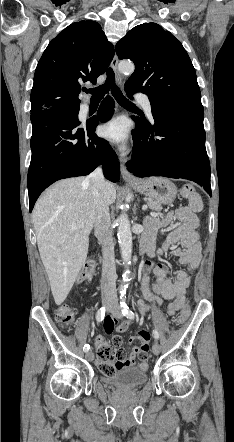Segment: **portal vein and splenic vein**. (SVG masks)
Listing matches in <instances>:
<instances>
[{
    "mask_svg": "<svg viewBox=\"0 0 234 442\" xmlns=\"http://www.w3.org/2000/svg\"><path fill=\"white\" fill-rule=\"evenodd\" d=\"M142 209L145 211V210L147 209V205H144V206L142 207ZM83 226H84V222L79 221V222H77V223H75V224H72L70 227H71L72 229H77V228H81V227H83Z\"/></svg>",
    "mask_w": 234,
    "mask_h": 442,
    "instance_id": "portal-vein-and-splenic-vein-1",
    "label": "portal vein and splenic vein"
}]
</instances>
